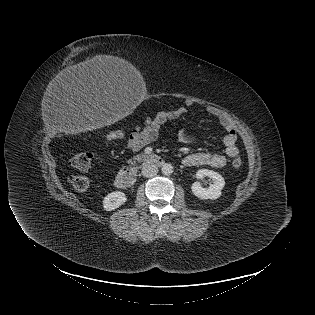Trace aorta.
<instances>
[{
    "label": "aorta",
    "instance_id": "1",
    "mask_svg": "<svg viewBox=\"0 0 315 315\" xmlns=\"http://www.w3.org/2000/svg\"><path fill=\"white\" fill-rule=\"evenodd\" d=\"M161 170L164 175H171L173 173V166L169 163H165Z\"/></svg>",
    "mask_w": 315,
    "mask_h": 315
}]
</instances>
